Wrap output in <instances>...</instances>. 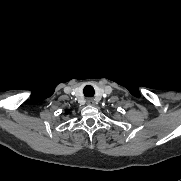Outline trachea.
Instances as JSON below:
<instances>
[{
  "label": "trachea",
  "instance_id": "trachea-1",
  "mask_svg": "<svg viewBox=\"0 0 181 181\" xmlns=\"http://www.w3.org/2000/svg\"><path fill=\"white\" fill-rule=\"evenodd\" d=\"M83 93L86 97H93L95 94V91L91 85H87V86H85Z\"/></svg>",
  "mask_w": 181,
  "mask_h": 181
}]
</instances>
